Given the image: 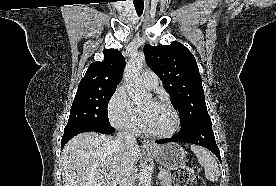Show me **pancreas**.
<instances>
[{
	"instance_id": "1",
	"label": "pancreas",
	"mask_w": 276,
	"mask_h": 186,
	"mask_svg": "<svg viewBox=\"0 0 276 186\" xmlns=\"http://www.w3.org/2000/svg\"><path fill=\"white\" fill-rule=\"evenodd\" d=\"M161 172L164 173L162 179H160L161 186H172V177L169 170H162Z\"/></svg>"
}]
</instances>
